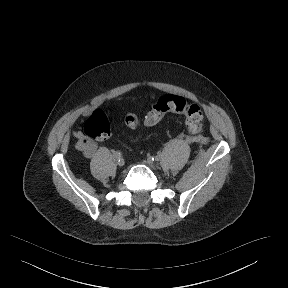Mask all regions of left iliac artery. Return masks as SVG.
Returning <instances> with one entry per match:
<instances>
[{
	"label": "left iliac artery",
	"mask_w": 288,
	"mask_h": 288,
	"mask_svg": "<svg viewBox=\"0 0 288 288\" xmlns=\"http://www.w3.org/2000/svg\"><path fill=\"white\" fill-rule=\"evenodd\" d=\"M159 159H160L159 156H154V157L152 158L153 161H159Z\"/></svg>",
	"instance_id": "obj_1"
}]
</instances>
